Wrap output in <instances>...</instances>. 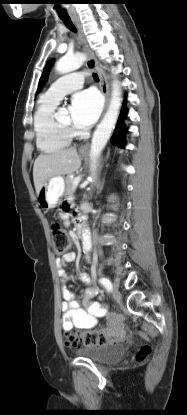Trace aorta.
Listing matches in <instances>:
<instances>
[{"instance_id":"762f6f07","label":"aorta","mask_w":187,"mask_h":415,"mask_svg":"<svg viewBox=\"0 0 187 415\" xmlns=\"http://www.w3.org/2000/svg\"><path fill=\"white\" fill-rule=\"evenodd\" d=\"M85 61V55L77 53L71 56L61 57L57 64L56 70L61 74H66L80 68ZM121 88L118 81H115L112 86V94L109 107L100 124L97 126L90 148L91 168H96L97 159L105 147L111 132L117 122L120 107H121ZM82 244L85 251H90L92 248L91 233L88 228L83 230Z\"/></svg>"}]
</instances>
